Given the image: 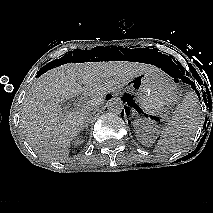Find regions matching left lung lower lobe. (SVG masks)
<instances>
[{
	"label": "left lung lower lobe",
	"instance_id": "obj_1",
	"mask_svg": "<svg viewBox=\"0 0 213 213\" xmlns=\"http://www.w3.org/2000/svg\"><path fill=\"white\" fill-rule=\"evenodd\" d=\"M191 86H192V85H191ZM192 88H193V89L196 91V93H197V90L195 89V85H193ZM198 94H199V93H198ZM198 94H197V95H198ZM127 95H128V94L125 93V95L122 97L124 103H125V101H127ZM199 99H200V98H199ZM121 114H122V113H121Z\"/></svg>",
	"mask_w": 213,
	"mask_h": 213
}]
</instances>
